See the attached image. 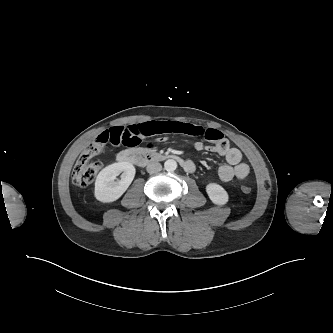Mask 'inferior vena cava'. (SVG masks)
<instances>
[{"label":"inferior vena cava","mask_w":333,"mask_h":333,"mask_svg":"<svg viewBox=\"0 0 333 333\" xmlns=\"http://www.w3.org/2000/svg\"><path fill=\"white\" fill-rule=\"evenodd\" d=\"M162 170V165L159 162H152L147 165V172L150 174L160 172Z\"/></svg>","instance_id":"1"}]
</instances>
